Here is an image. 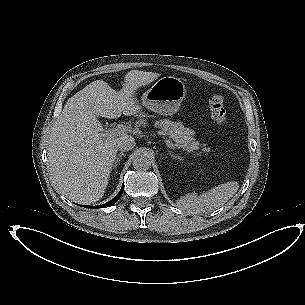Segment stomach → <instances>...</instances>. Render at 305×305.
I'll list each match as a JSON object with an SVG mask.
<instances>
[{
	"label": "stomach",
	"mask_w": 305,
	"mask_h": 305,
	"mask_svg": "<svg viewBox=\"0 0 305 305\" xmlns=\"http://www.w3.org/2000/svg\"><path fill=\"white\" fill-rule=\"evenodd\" d=\"M186 96L187 88L180 78L163 76L143 94L142 103L161 115H173Z\"/></svg>",
	"instance_id": "obj_1"
}]
</instances>
